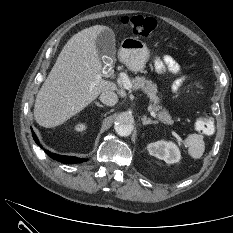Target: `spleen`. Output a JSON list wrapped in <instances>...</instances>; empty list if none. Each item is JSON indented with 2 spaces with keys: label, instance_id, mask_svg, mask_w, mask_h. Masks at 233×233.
Returning a JSON list of instances; mask_svg holds the SVG:
<instances>
[{
  "label": "spleen",
  "instance_id": "obj_1",
  "mask_svg": "<svg viewBox=\"0 0 233 233\" xmlns=\"http://www.w3.org/2000/svg\"><path fill=\"white\" fill-rule=\"evenodd\" d=\"M184 144L188 147L189 155L194 159H200L205 151V143L203 140V135L200 134H190L184 140Z\"/></svg>",
  "mask_w": 233,
  "mask_h": 233
}]
</instances>
